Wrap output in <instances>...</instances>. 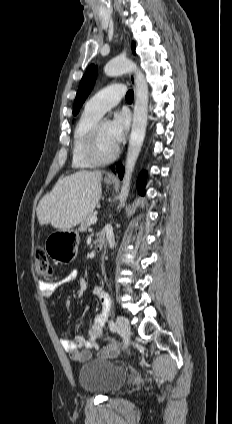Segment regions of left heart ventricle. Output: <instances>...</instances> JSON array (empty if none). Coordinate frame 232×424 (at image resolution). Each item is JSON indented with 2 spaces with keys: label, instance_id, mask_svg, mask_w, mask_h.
Listing matches in <instances>:
<instances>
[{
  "label": "left heart ventricle",
  "instance_id": "b2bd125f",
  "mask_svg": "<svg viewBox=\"0 0 232 424\" xmlns=\"http://www.w3.org/2000/svg\"><path fill=\"white\" fill-rule=\"evenodd\" d=\"M116 145L113 143L109 134V122L103 121L99 135V150L102 156H109L115 150Z\"/></svg>",
  "mask_w": 232,
  "mask_h": 424
}]
</instances>
